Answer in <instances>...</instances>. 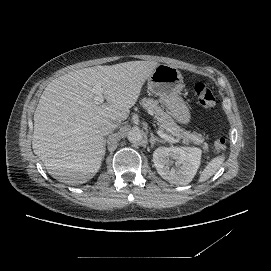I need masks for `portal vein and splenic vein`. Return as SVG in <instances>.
Masks as SVG:
<instances>
[{"label":"portal vein and splenic vein","mask_w":271,"mask_h":271,"mask_svg":"<svg viewBox=\"0 0 271 271\" xmlns=\"http://www.w3.org/2000/svg\"><path fill=\"white\" fill-rule=\"evenodd\" d=\"M94 101L96 103L102 104L105 101V96L103 94V88L100 84H96L94 87ZM159 135L166 141L170 143H180V140L172 136L166 135L160 131Z\"/></svg>","instance_id":"portal-vein-and-splenic-vein-1"}]
</instances>
